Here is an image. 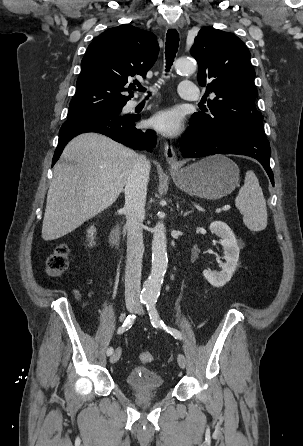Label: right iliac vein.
Segmentation results:
<instances>
[{"label":"right iliac vein","mask_w":303,"mask_h":446,"mask_svg":"<svg viewBox=\"0 0 303 446\" xmlns=\"http://www.w3.org/2000/svg\"><path fill=\"white\" fill-rule=\"evenodd\" d=\"M127 309H128V311L133 312L136 309V305L134 303H128ZM120 356H121V349L117 348L114 351V353L111 355L110 362L111 363L117 362L119 360Z\"/></svg>","instance_id":"right-iliac-vein-1"}]
</instances>
